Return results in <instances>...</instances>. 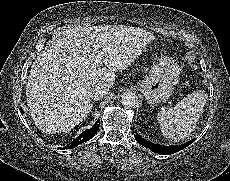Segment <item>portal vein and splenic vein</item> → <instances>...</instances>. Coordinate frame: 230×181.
Listing matches in <instances>:
<instances>
[{"label":"portal vein and splenic vein","instance_id":"portal-vein-and-splenic-vein-1","mask_svg":"<svg viewBox=\"0 0 230 181\" xmlns=\"http://www.w3.org/2000/svg\"><path fill=\"white\" fill-rule=\"evenodd\" d=\"M102 55H103V52H99V51H98V54H97V56H96V62H98V63L101 62L102 57H103Z\"/></svg>","mask_w":230,"mask_h":181}]
</instances>
